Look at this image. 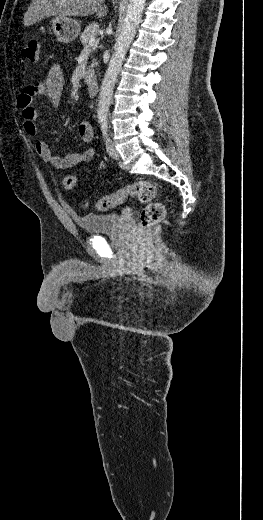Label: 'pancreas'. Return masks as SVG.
<instances>
[{"label":"pancreas","instance_id":"obj_1","mask_svg":"<svg viewBox=\"0 0 263 520\" xmlns=\"http://www.w3.org/2000/svg\"><path fill=\"white\" fill-rule=\"evenodd\" d=\"M99 31V24L96 22H93L85 27L84 31L80 35L81 43L86 46L90 40L91 37H95L97 32ZM95 66V63L92 64L86 73V80L88 81L90 79L89 74L93 71V67Z\"/></svg>","mask_w":263,"mask_h":520}]
</instances>
